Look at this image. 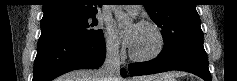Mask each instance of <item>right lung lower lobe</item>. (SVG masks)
I'll return each instance as SVG.
<instances>
[{"label":"right lung lower lobe","instance_id":"1","mask_svg":"<svg viewBox=\"0 0 237 81\" xmlns=\"http://www.w3.org/2000/svg\"><path fill=\"white\" fill-rule=\"evenodd\" d=\"M103 39L83 40L58 34H41L32 81H51L75 69H95L105 60ZM122 76L126 72L121 70Z\"/></svg>","mask_w":237,"mask_h":81}]
</instances>
